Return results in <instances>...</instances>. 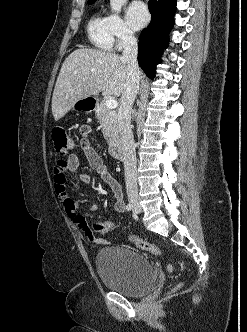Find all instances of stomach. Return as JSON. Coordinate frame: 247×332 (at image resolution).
I'll return each mask as SVG.
<instances>
[{
    "label": "stomach",
    "mask_w": 247,
    "mask_h": 332,
    "mask_svg": "<svg viewBox=\"0 0 247 332\" xmlns=\"http://www.w3.org/2000/svg\"><path fill=\"white\" fill-rule=\"evenodd\" d=\"M94 107V99L92 97H84L79 99L78 101H76L73 106L72 109L73 110H91Z\"/></svg>",
    "instance_id": "1"
}]
</instances>
